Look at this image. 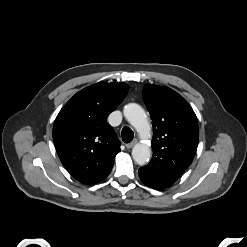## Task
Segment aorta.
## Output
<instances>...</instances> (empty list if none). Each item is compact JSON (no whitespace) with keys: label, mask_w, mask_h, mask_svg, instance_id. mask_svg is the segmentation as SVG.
<instances>
[{"label":"aorta","mask_w":247,"mask_h":247,"mask_svg":"<svg viewBox=\"0 0 247 247\" xmlns=\"http://www.w3.org/2000/svg\"><path fill=\"white\" fill-rule=\"evenodd\" d=\"M123 114L142 138L150 136V123L144 109L140 105L136 103L125 105ZM150 156L151 148L147 144L137 143L132 149V157L138 165H145L149 161Z\"/></svg>","instance_id":"762f6f07"}]
</instances>
